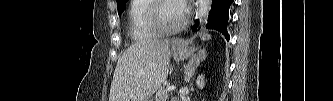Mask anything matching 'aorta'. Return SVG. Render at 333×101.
<instances>
[{
  "mask_svg": "<svg viewBox=\"0 0 333 101\" xmlns=\"http://www.w3.org/2000/svg\"><path fill=\"white\" fill-rule=\"evenodd\" d=\"M211 4H212L211 0L198 1V18L200 22L207 18L211 8Z\"/></svg>",
  "mask_w": 333,
  "mask_h": 101,
  "instance_id": "762f6f07",
  "label": "aorta"
}]
</instances>
